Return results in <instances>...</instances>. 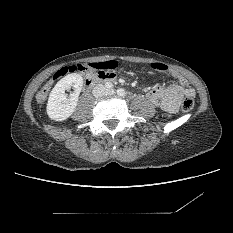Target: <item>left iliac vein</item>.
<instances>
[{
	"label": "left iliac vein",
	"mask_w": 233,
	"mask_h": 233,
	"mask_svg": "<svg viewBox=\"0 0 233 233\" xmlns=\"http://www.w3.org/2000/svg\"><path fill=\"white\" fill-rule=\"evenodd\" d=\"M115 91L113 89L108 90V94H114Z\"/></svg>",
	"instance_id": "left-iliac-vein-1"
}]
</instances>
